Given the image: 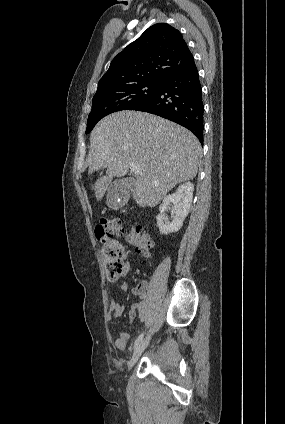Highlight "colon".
Wrapping results in <instances>:
<instances>
[{"label":"colon","instance_id":"1","mask_svg":"<svg viewBox=\"0 0 285 424\" xmlns=\"http://www.w3.org/2000/svg\"><path fill=\"white\" fill-rule=\"evenodd\" d=\"M94 232L97 241L102 245L106 276L112 280L120 277L126 266V251L115 237L125 235L128 242L145 255H149L153 247L150 237L142 227L137 226L129 230L120 219H102L96 224Z\"/></svg>","mask_w":285,"mask_h":424}]
</instances>
